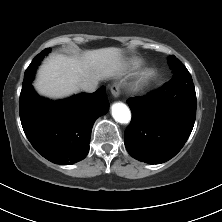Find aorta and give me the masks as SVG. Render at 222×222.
<instances>
[{"label":"aorta","instance_id":"aorta-1","mask_svg":"<svg viewBox=\"0 0 222 222\" xmlns=\"http://www.w3.org/2000/svg\"><path fill=\"white\" fill-rule=\"evenodd\" d=\"M112 117L118 123L128 124L131 121V111L126 104L117 102L112 105Z\"/></svg>","mask_w":222,"mask_h":222}]
</instances>
